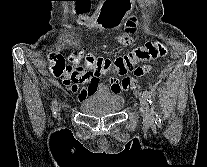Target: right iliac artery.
I'll return each instance as SVG.
<instances>
[{"label":"right iliac artery","instance_id":"1","mask_svg":"<svg viewBox=\"0 0 207 167\" xmlns=\"http://www.w3.org/2000/svg\"><path fill=\"white\" fill-rule=\"evenodd\" d=\"M52 113H53L54 117L57 116V102H56V100L52 104Z\"/></svg>","mask_w":207,"mask_h":167}]
</instances>
